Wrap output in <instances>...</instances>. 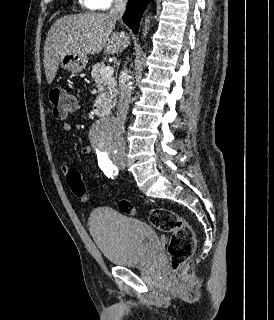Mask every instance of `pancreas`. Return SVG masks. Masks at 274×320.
Masks as SVG:
<instances>
[{
	"mask_svg": "<svg viewBox=\"0 0 274 320\" xmlns=\"http://www.w3.org/2000/svg\"><path fill=\"white\" fill-rule=\"evenodd\" d=\"M92 68V80L97 84L99 94L103 96V98L99 96L100 100H102L99 108H101L103 112H109V110L114 108V104L116 102L117 82L115 78H103V76H101L100 72L104 68L101 64H94Z\"/></svg>",
	"mask_w": 274,
	"mask_h": 320,
	"instance_id": "obj_1",
	"label": "pancreas"
}]
</instances>
